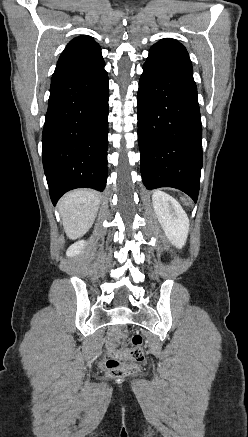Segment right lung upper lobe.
Listing matches in <instances>:
<instances>
[{"instance_id":"cb5924a9","label":"right lung upper lobe","mask_w":248,"mask_h":437,"mask_svg":"<svg viewBox=\"0 0 248 437\" xmlns=\"http://www.w3.org/2000/svg\"><path fill=\"white\" fill-rule=\"evenodd\" d=\"M101 48L90 36H79L72 39L62 52L58 64L88 63L101 59Z\"/></svg>"}]
</instances>
